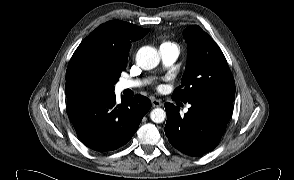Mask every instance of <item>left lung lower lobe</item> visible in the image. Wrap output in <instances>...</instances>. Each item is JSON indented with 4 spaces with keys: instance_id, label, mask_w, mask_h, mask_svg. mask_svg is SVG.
<instances>
[{
    "instance_id": "left-lung-lower-lobe-1",
    "label": "left lung lower lobe",
    "mask_w": 294,
    "mask_h": 180,
    "mask_svg": "<svg viewBox=\"0 0 294 180\" xmlns=\"http://www.w3.org/2000/svg\"><path fill=\"white\" fill-rule=\"evenodd\" d=\"M174 100V99H173ZM184 117L179 108L166 103L165 134L176 149L190 156H201L220 142L232 113V103L211 100L189 101Z\"/></svg>"
}]
</instances>
